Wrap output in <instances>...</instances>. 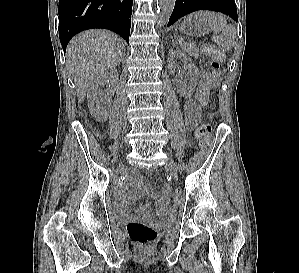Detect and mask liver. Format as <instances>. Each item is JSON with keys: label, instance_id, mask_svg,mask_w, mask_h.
<instances>
[{"label": "liver", "instance_id": "liver-1", "mask_svg": "<svg viewBox=\"0 0 299 273\" xmlns=\"http://www.w3.org/2000/svg\"><path fill=\"white\" fill-rule=\"evenodd\" d=\"M124 52L123 40L105 30L84 31L70 41L66 63L80 103L84 101L88 86L96 75L115 67Z\"/></svg>", "mask_w": 299, "mask_h": 273}]
</instances>
